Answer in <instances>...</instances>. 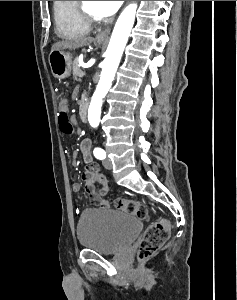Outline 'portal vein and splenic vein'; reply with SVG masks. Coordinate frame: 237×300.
Here are the masks:
<instances>
[{
  "instance_id": "1",
  "label": "portal vein and splenic vein",
  "mask_w": 237,
  "mask_h": 300,
  "mask_svg": "<svg viewBox=\"0 0 237 300\" xmlns=\"http://www.w3.org/2000/svg\"><path fill=\"white\" fill-rule=\"evenodd\" d=\"M80 71V73H79V76H81V77H83L85 74L83 73L84 71L82 70V69H79Z\"/></svg>"
}]
</instances>
